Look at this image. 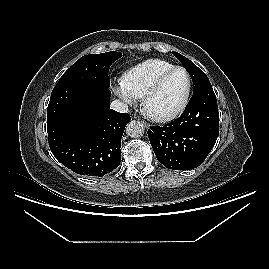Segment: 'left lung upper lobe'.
Masks as SVG:
<instances>
[{"label": "left lung upper lobe", "mask_w": 269, "mask_h": 269, "mask_svg": "<svg viewBox=\"0 0 269 269\" xmlns=\"http://www.w3.org/2000/svg\"><path fill=\"white\" fill-rule=\"evenodd\" d=\"M172 53L189 72L193 81L194 92L204 86L211 85L205 73L200 68H198L193 62H191L189 59H187L186 57L182 56L177 52Z\"/></svg>", "instance_id": "5c2ea615"}]
</instances>
